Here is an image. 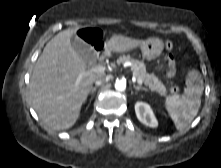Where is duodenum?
Segmentation results:
<instances>
[{
	"label": "duodenum",
	"mask_w": 221,
	"mask_h": 168,
	"mask_svg": "<svg viewBox=\"0 0 221 168\" xmlns=\"http://www.w3.org/2000/svg\"><path fill=\"white\" fill-rule=\"evenodd\" d=\"M106 46L103 42H96L94 45V54L97 59H102L106 53Z\"/></svg>",
	"instance_id": "obj_1"
}]
</instances>
